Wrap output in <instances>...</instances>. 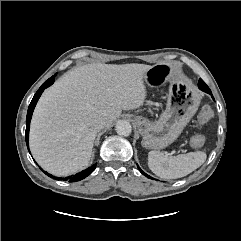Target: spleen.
Instances as JSON below:
<instances>
[{
    "label": "spleen",
    "instance_id": "spleen-1",
    "mask_svg": "<svg viewBox=\"0 0 241 241\" xmlns=\"http://www.w3.org/2000/svg\"><path fill=\"white\" fill-rule=\"evenodd\" d=\"M206 158V153L202 151L177 156H169L167 153L160 151H150L148 166L155 175L163 179H176L184 177L199 168Z\"/></svg>",
    "mask_w": 241,
    "mask_h": 241
}]
</instances>
